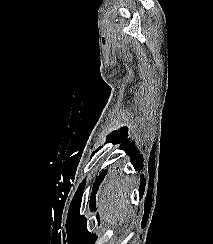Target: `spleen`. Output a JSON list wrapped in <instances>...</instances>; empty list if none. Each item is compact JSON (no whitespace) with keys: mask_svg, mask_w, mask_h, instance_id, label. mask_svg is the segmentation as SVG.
<instances>
[{"mask_svg":"<svg viewBox=\"0 0 213 244\" xmlns=\"http://www.w3.org/2000/svg\"><path fill=\"white\" fill-rule=\"evenodd\" d=\"M131 183L128 179L106 180L97 195L100 231L121 226L130 213Z\"/></svg>","mask_w":213,"mask_h":244,"instance_id":"1","label":"spleen"}]
</instances>
